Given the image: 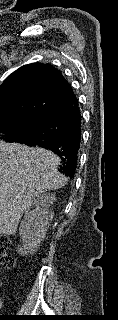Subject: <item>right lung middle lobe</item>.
Segmentation results:
<instances>
[{
    "mask_svg": "<svg viewBox=\"0 0 118 320\" xmlns=\"http://www.w3.org/2000/svg\"><path fill=\"white\" fill-rule=\"evenodd\" d=\"M45 120L40 119H11L0 120V133L9 134L6 139L10 142H17L29 137L39 131L44 125ZM16 137V138H11Z\"/></svg>",
    "mask_w": 118,
    "mask_h": 320,
    "instance_id": "dd1d6c3e",
    "label": "right lung middle lobe"
}]
</instances>
